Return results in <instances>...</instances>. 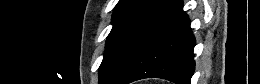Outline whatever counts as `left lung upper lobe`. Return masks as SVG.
I'll return each instance as SVG.
<instances>
[{"instance_id":"obj_1","label":"left lung upper lobe","mask_w":260,"mask_h":84,"mask_svg":"<svg viewBox=\"0 0 260 84\" xmlns=\"http://www.w3.org/2000/svg\"><path fill=\"white\" fill-rule=\"evenodd\" d=\"M160 0H120L115 7L106 52L99 67V83L108 77L117 57Z\"/></svg>"}]
</instances>
